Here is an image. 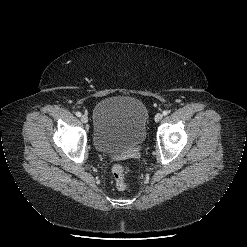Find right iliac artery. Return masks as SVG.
Instances as JSON below:
<instances>
[{
	"instance_id": "right-iliac-artery-1",
	"label": "right iliac artery",
	"mask_w": 247,
	"mask_h": 247,
	"mask_svg": "<svg viewBox=\"0 0 247 247\" xmlns=\"http://www.w3.org/2000/svg\"><path fill=\"white\" fill-rule=\"evenodd\" d=\"M77 117H81V112H76Z\"/></svg>"
}]
</instances>
